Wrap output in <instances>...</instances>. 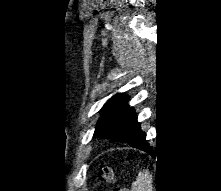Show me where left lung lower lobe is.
Returning a JSON list of instances; mask_svg holds the SVG:
<instances>
[{
    "instance_id": "obj_1",
    "label": "left lung lower lobe",
    "mask_w": 221,
    "mask_h": 191,
    "mask_svg": "<svg viewBox=\"0 0 221 191\" xmlns=\"http://www.w3.org/2000/svg\"><path fill=\"white\" fill-rule=\"evenodd\" d=\"M133 118H134V120H137V117H136V115H135V113L133 112ZM149 147H145V148H143L142 150H147Z\"/></svg>"
}]
</instances>
